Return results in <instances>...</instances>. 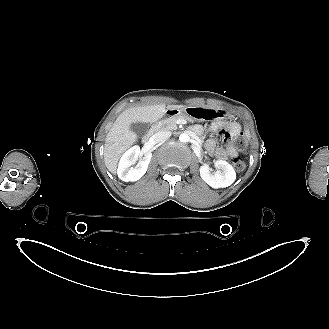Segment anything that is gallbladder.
Wrapping results in <instances>:
<instances>
[{
    "label": "gallbladder",
    "instance_id": "obj_1",
    "mask_svg": "<svg viewBox=\"0 0 329 329\" xmlns=\"http://www.w3.org/2000/svg\"><path fill=\"white\" fill-rule=\"evenodd\" d=\"M131 131H133L137 136L143 137L149 130V124L144 122L132 123L130 126Z\"/></svg>",
    "mask_w": 329,
    "mask_h": 329
}]
</instances>
